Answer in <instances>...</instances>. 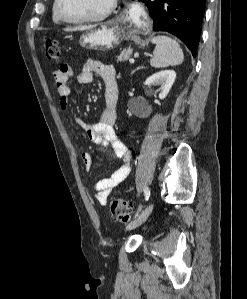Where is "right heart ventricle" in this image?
Segmentation results:
<instances>
[{
  "mask_svg": "<svg viewBox=\"0 0 247 299\" xmlns=\"http://www.w3.org/2000/svg\"><path fill=\"white\" fill-rule=\"evenodd\" d=\"M52 20L56 24L62 23V20L57 16V14L55 12L54 4H53V8H52Z\"/></svg>",
  "mask_w": 247,
  "mask_h": 299,
  "instance_id": "obj_1",
  "label": "right heart ventricle"
}]
</instances>
